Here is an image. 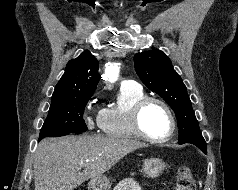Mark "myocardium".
Here are the masks:
<instances>
[{
	"mask_svg": "<svg viewBox=\"0 0 238 190\" xmlns=\"http://www.w3.org/2000/svg\"><path fill=\"white\" fill-rule=\"evenodd\" d=\"M153 103L160 105L166 111L170 119V130L165 136H162V137L150 136L149 134L145 132L142 126V122H141L142 113L148 105ZM130 120H131V126L135 134L139 138L148 142H152V143H163L168 141L174 135L176 130V125H177L175 115L172 109L170 108V106L160 98L149 97V96H146L140 99L134 104L131 110Z\"/></svg>",
	"mask_w": 238,
	"mask_h": 190,
	"instance_id": "obj_1",
	"label": "myocardium"
}]
</instances>
